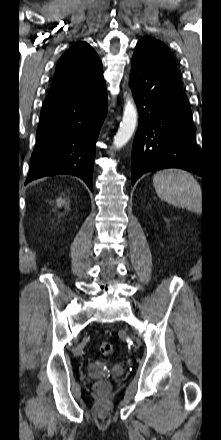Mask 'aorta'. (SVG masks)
<instances>
[{"label":"aorta","instance_id":"obj_1","mask_svg":"<svg viewBox=\"0 0 221 440\" xmlns=\"http://www.w3.org/2000/svg\"><path fill=\"white\" fill-rule=\"evenodd\" d=\"M137 124V109L132 99L127 98L123 118L114 137V146L119 149L131 139Z\"/></svg>","mask_w":221,"mask_h":440}]
</instances>
